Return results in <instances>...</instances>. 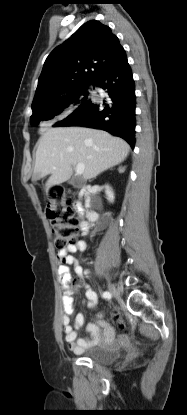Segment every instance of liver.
<instances>
[{
	"label": "liver",
	"instance_id": "1",
	"mask_svg": "<svg viewBox=\"0 0 187 415\" xmlns=\"http://www.w3.org/2000/svg\"><path fill=\"white\" fill-rule=\"evenodd\" d=\"M130 146L119 137L101 130L81 127H57L45 131L38 140L32 181L51 174L46 193L73 174L72 166H85L83 177L91 179L124 161Z\"/></svg>",
	"mask_w": 187,
	"mask_h": 415
}]
</instances>
